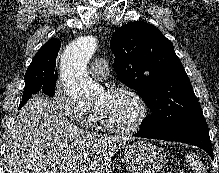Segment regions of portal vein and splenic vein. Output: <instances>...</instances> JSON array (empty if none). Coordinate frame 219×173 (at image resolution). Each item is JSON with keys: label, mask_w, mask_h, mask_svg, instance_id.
Wrapping results in <instances>:
<instances>
[{"label": "portal vein and splenic vein", "mask_w": 219, "mask_h": 173, "mask_svg": "<svg viewBox=\"0 0 219 173\" xmlns=\"http://www.w3.org/2000/svg\"><path fill=\"white\" fill-rule=\"evenodd\" d=\"M57 170H54L53 173H56ZM59 173H69L68 170H59Z\"/></svg>", "instance_id": "18ae733b"}]
</instances>
